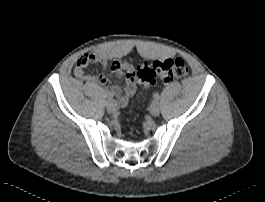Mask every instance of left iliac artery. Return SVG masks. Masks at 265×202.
Here are the masks:
<instances>
[{
    "label": "left iliac artery",
    "instance_id": "44dca946",
    "mask_svg": "<svg viewBox=\"0 0 265 202\" xmlns=\"http://www.w3.org/2000/svg\"><path fill=\"white\" fill-rule=\"evenodd\" d=\"M153 98H154L155 100H157V101H158V100H159V98H160V96H159V94H158V93H156V94H154V95H153Z\"/></svg>",
    "mask_w": 265,
    "mask_h": 202
}]
</instances>
